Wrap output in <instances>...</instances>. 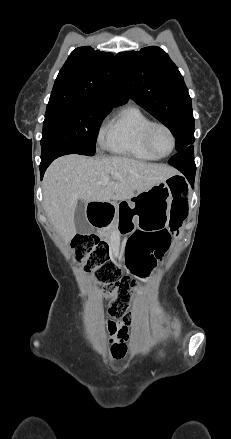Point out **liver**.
Returning a JSON list of instances; mask_svg holds the SVG:
<instances>
[{"label":"liver","instance_id":"liver-1","mask_svg":"<svg viewBox=\"0 0 231 439\" xmlns=\"http://www.w3.org/2000/svg\"><path fill=\"white\" fill-rule=\"evenodd\" d=\"M176 174L168 165L126 157L66 155L56 159L44 175V210L59 234L70 240L77 232L74 213L79 201L127 200ZM109 175L113 181L101 185L99 182Z\"/></svg>","mask_w":231,"mask_h":439}]
</instances>
